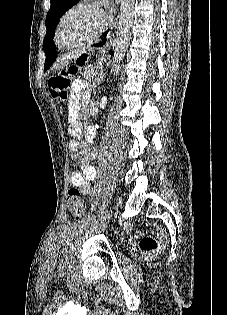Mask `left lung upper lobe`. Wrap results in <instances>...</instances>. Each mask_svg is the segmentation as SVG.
I'll return each mask as SVG.
<instances>
[{"instance_id":"obj_1","label":"left lung upper lobe","mask_w":227,"mask_h":315,"mask_svg":"<svg viewBox=\"0 0 227 315\" xmlns=\"http://www.w3.org/2000/svg\"><path fill=\"white\" fill-rule=\"evenodd\" d=\"M51 7L46 17V29L47 33L43 42L44 52L50 45H54L52 39L54 37V30L59 22L61 16L73 5L79 2V0H50ZM45 69V67H44Z\"/></svg>"}]
</instances>
